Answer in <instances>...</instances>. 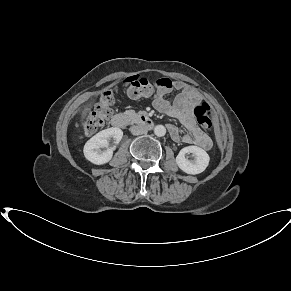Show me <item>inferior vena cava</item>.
Instances as JSON below:
<instances>
[{
	"mask_svg": "<svg viewBox=\"0 0 291 291\" xmlns=\"http://www.w3.org/2000/svg\"><path fill=\"white\" fill-rule=\"evenodd\" d=\"M130 131L133 135H142L147 133V128L143 126H133L130 128Z\"/></svg>",
	"mask_w": 291,
	"mask_h": 291,
	"instance_id": "602c4592",
	"label": "inferior vena cava"
}]
</instances>
